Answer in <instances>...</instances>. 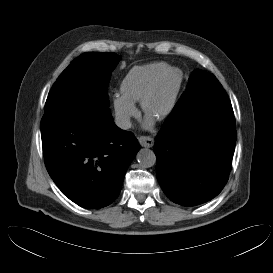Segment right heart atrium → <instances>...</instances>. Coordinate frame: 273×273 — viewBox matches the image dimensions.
Masks as SVG:
<instances>
[{
	"instance_id": "obj_1",
	"label": "right heart atrium",
	"mask_w": 273,
	"mask_h": 273,
	"mask_svg": "<svg viewBox=\"0 0 273 273\" xmlns=\"http://www.w3.org/2000/svg\"><path fill=\"white\" fill-rule=\"evenodd\" d=\"M113 108L117 120L124 126L129 125L131 119L138 115L135 104L129 102L121 95L113 97Z\"/></svg>"
}]
</instances>
